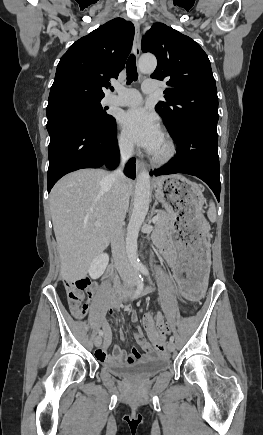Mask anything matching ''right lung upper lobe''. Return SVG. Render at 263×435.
<instances>
[{"label": "right lung upper lobe", "mask_w": 263, "mask_h": 435, "mask_svg": "<svg viewBox=\"0 0 263 435\" xmlns=\"http://www.w3.org/2000/svg\"><path fill=\"white\" fill-rule=\"evenodd\" d=\"M134 31L132 22L115 18L72 44L58 63L48 106L102 99L125 66Z\"/></svg>", "instance_id": "obj_1"}]
</instances>
